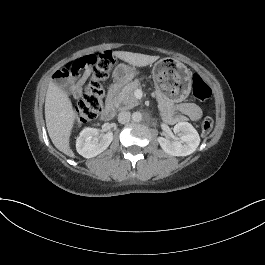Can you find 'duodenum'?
I'll return each instance as SVG.
<instances>
[{
  "label": "duodenum",
  "mask_w": 265,
  "mask_h": 265,
  "mask_svg": "<svg viewBox=\"0 0 265 265\" xmlns=\"http://www.w3.org/2000/svg\"><path fill=\"white\" fill-rule=\"evenodd\" d=\"M119 88V84L116 83L112 85L109 89L105 107L102 111V118L104 120H110L114 117L115 115V94Z\"/></svg>",
  "instance_id": "duodenum-1"
}]
</instances>
